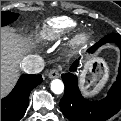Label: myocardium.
Segmentation results:
<instances>
[{"mask_svg": "<svg viewBox=\"0 0 121 121\" xmlns=\"http://www.w3.org/2000/svg\"><path fill=\"white\" fill-rule=\"evenodd\" d=\"M89 38L87 33H80L75 35L68 44V50L73 51L80 48Z\"/></svg>", "mask_w": 121, "mask_h": 121, "instance_id": "f54148a6", "label": "myocardium"}]
</instances>
